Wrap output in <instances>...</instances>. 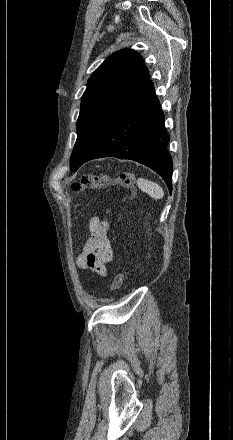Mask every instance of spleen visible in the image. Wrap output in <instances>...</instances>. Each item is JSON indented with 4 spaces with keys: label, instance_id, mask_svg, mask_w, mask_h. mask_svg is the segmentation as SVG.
<instances>
[{
    "label": "spleen",
    "instance_id": "1",
    "mask_svg": "<svg viewBox=\"0 0 233 440\" xmlns=\"http://www.w3.org/2000/svg\"><path fill=\"white\" fill-rule=\"evenodd\" d=\"M137 185L142 191L146 192L148 195L156 200L162 199L164 196V191L162 187L153 181L138 178Z\"/></svg>",
    "mask_w": 233,
    "mask_h": 440
}]
</instances>
